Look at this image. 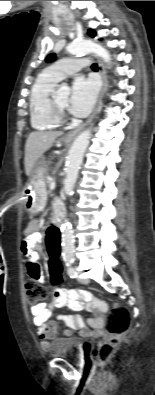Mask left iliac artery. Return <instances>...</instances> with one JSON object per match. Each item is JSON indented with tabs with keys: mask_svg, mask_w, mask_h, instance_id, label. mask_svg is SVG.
Instances as JSON below:
<instances>
[{
	"mask_svg": "<svg viewBox=\"0 0 155 395\" xmlns=\"http://www.w3.org/2000/svg\"><path fill=\"white\" fill-rule=\"evenodd\" d=\"M65 264L67 267V273L70 278H76L77 277V272L75 268L73 267L74 264V258H67L65 259Z\"/></svg>",
	"mask_w": 155,
	"mask_h": 395,
	"instance_id": "obj_1",
	"label": "left iliac artery"
}]
</instances>
